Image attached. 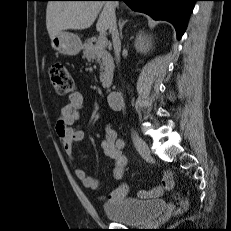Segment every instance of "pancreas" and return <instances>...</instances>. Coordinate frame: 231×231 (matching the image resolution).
<instances>
[{
	"instance_id": "1",
	"label": "pancreas",
	"mask_w": 231,
	"mask_h": 231,
	"mask_svg": "<svg viewBox=\"0 0 231 231\" xmlns=\"http://www.w3.org/2000/svg\"><path fill=\"white\" fill-rule=\"evenodd\" d=\"M83 54L88 62L95 60L100 64V81L104 88H109L112 83L114 71V63L111 55L105 50V48H100L97 43L94 45L92 39H88L84 43Z\"/></svg>"
}]
</instances>
